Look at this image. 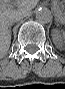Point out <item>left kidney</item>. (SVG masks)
<instances>
[{
	"label": "left kidney",
	"mask_w": 65,
	"mask_h": 89,
	"mask_svg": "<svg viewBox=\"0 0 65 89\" xmlns=\"http://www.w3.org/2000/svg\"><path fill=\"white\" fill-rule=\"evenodd\" d=\"M53 42L59 50H63L65 48V32L59 30L58 36L53 39Z\"/></svg>",
	"instance_id": "1"
}]
</instances>
